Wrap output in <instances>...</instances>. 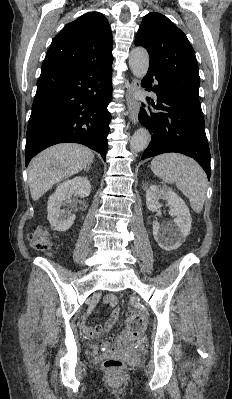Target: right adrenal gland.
<instances>
[{"mask_svg": "<svg viewBox=\"0 0 232 399\" xmlns=\"http://www.w3.org/2000/svg\"><path fill=\"white\" fill-rule=\"evenodd\" d=\"M91 166H92V164H89V166H87V168H84V172H89Z\"/></svg>", "mask_w": 232, "mask_h": 399, "instance_id": "right-adrenal-gland-1", "label": "right adrenal gland"}]
</instances>
